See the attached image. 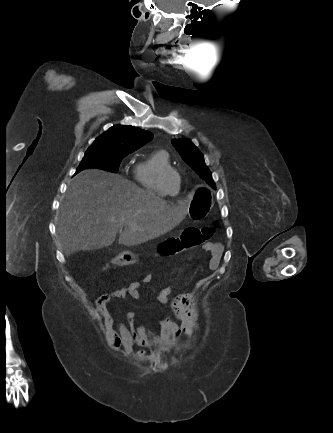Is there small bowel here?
<instances>
[{
    "mask_svg": "<svg viewBox=\"0 0 333 433\" xmlns=\"http://www.w3.org/2000/svg\"><path fill=\"white\" fill-rule=\"evenodd\" d=\"M211 253L209 268L214 270L218 267L221 258V247L208 244L204 246ZM181 268L178 269V272ZM153 279L151 274L143 277L141 282H132L128 286L102 294L96 299L95 313L97 319L102 321L106 330L107 343L113 350L121 348L127 354L135 352V347H140L136 353L139 357H145L147 349L155 347L171 346L182 337H192L196 331V320L199 317L197 298L191 293L179 294L170 297V287L161 288L156 299L160 304L169 305L174 316L179 322L167 317H160L157 322L160 327L158 336L150 333L144 326L136 322V313L129 311L126 321L118 320L109 310V304L114 300H125L127 298L138 299L141 296V283H150Z\"/></svg>",
    "mask_w": 333,
    "mask_h": 433,
    "instance_id": "c3829d8e",
    "label": "small bowel"
}]
</instances>
